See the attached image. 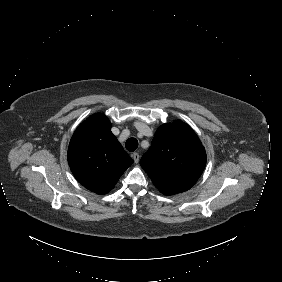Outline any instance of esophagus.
<instances>
[{"mask_svg":"<svg viewBox=\"0 0 282 282\" xmlns=\"http://www.w3.org/2000/svg\"><path fill=\"white\" fill-rule=\"evenodd\" d=\"M133 159L135 163L139 162V154L137 152L133 153Z\"/></svg>","mask_w":282,"mask_h":282,"instance_id":"obj_1","label":"esophagus"}]
</instances>
